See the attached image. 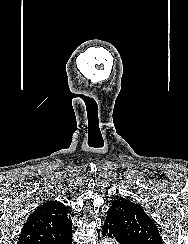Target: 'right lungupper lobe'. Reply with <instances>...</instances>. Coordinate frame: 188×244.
Wrapping results in <instances>:
<instances>
[{"label":"right lung upper lobe","instance_id":"right-lung-upper-lobe-1","mask_svg":"<svg viewBox=\"0 0 188 244\" xmlns=\"http://www.w3.org/2000/svg\"><path fill=\"white\" fill-rule=\"evenodd\" d=\"M71 227L64 204L57 201L46 202L29 216L17 244L53 242L71 231Z\"/></svg>","mask_w":188,"mask_h":244}]
</instances>
